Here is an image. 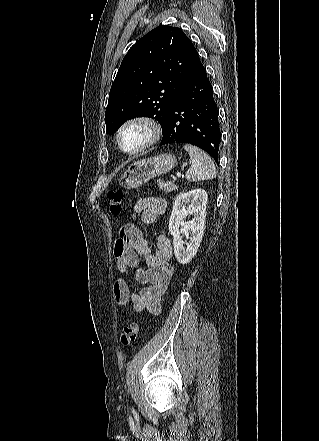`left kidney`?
I'll use <instances>...</instances> for the list:
<instances>
[{"label": "left kidney", "mask_w": 319, "mask_h": 441, "mask_svg": "<svg viewBox=\"0 0 319 441\" xmlns=\"http://www.w3.org/2000/svg\"><path fill=\"white\" fill-rule=\"evenodd\" d=\"M207 199V193L203 189L181 193L175 199L169 219V232L173 236L174 254L180 264L189 263L200 246L205 226ZM188 214L193 217L190 222L185 221ZM180 226L183 229H180ZM181 231L187 236V248L183 247Z\"/></svg>", "instance_id": "obj_1"}]
</instances>
